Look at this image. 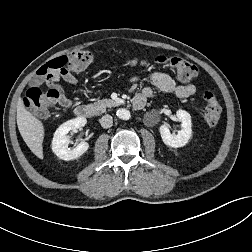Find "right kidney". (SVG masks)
<instances>
[{
  "label": "right kidney",
  "instance_id": "1",
  "mask_svg": "<svg viewBox=\"0 0 252 252\" xmlns=\"http://www.w3.org/2000/svg\"><path fill=\"white\" fill-rule=\"evenodd\" d=\"M86 123L87 120L84 117H77L59 126L52 140V151L57 157L65 161L74 160L82 156L88 150L89 144L84 141L79 143L75 148L70 149L68 147L70 141L67 137L70 130L83 127Z\"/></svg>",
  "mask_w": 252,
  "mask_h": 252
}]
</instances>
